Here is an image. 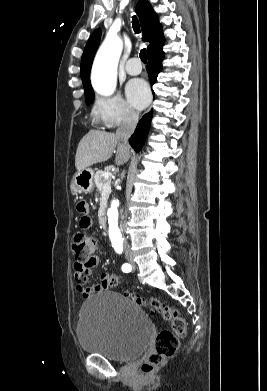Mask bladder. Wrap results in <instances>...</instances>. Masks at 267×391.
Wrapping results in <instances>:
<instances>
[{"instance_id": "obj_1", "label": "bladder", "mask_w": 267, "mask_h": 391, "mask_svg": "<svg viewBox=\"0 0 267 391\" xmlns=\"http://www.w3.org/2000/svg\"><path fill=\"white\" fill-rule=\"evenodd\" d=\"M153 334L147 314L118 292L105 291L81 306L77 337L83 351L115 361L140 355Z\"/></svg>"}]
</instances>
